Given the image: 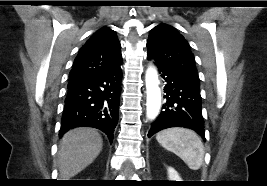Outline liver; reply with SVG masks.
Here are the masks:
<instances>
[{"mask_svg":"<svg viewBox=\"0 0 267 186\" xmlns=\"http://www.w3.org/2000/svg\"><path fill=\"white\" fill-rule=\"evenodd\" d=\"M102 137L92 128H75L64 134L59 144L60 178H72L90 165L102 150Z\"/></svg>","mask_w":267,"mask_h":186,"instance_id":"1","label":"liver"}]
</instances>
